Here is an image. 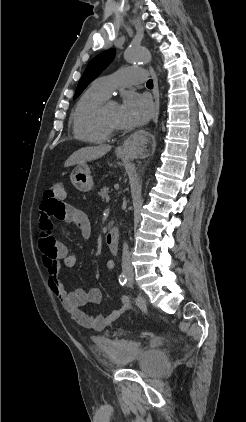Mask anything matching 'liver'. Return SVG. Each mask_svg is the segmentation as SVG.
<instances>
[{
    "label": "liver",
    "instance_id": "obj_1",
    "mask_svg": "<svg viewBox=\"0 0 246 422\" xmlns=\"http://www.w3.org/2000/svg\"><path fill=\"white\" fill-rule=\"evenodd\" d=\"M111 150L109 145H99L94 147H85L74 152L65 162L64 166L69 167L76 164H84L87 161H92L101 158Z\"/></svg>",
    "mask_w": 246,
    "mask_h": 422
}]
</instances>
